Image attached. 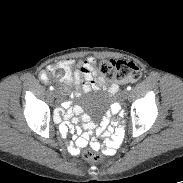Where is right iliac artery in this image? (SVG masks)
Masks as SVG:
<instances>
[{"label": "right iliac artery", "mask_w": 183, "mask_h": 183, "mask_svg": "<svg viewBox=\"0 0 183 183\" xmlns=\"http://www.w3.org/2000/svg\"><path fill=\"white\" fill-rule=\"evenodd\" d=\"M49 89H50V90H53L54 88H53V86H50Z\"/></svg>", "instance_id": "82829eb1"}]
</instances>
